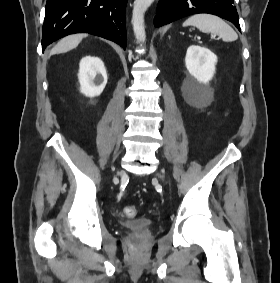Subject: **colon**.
Listing matches in <instances>:
<instances>
[{
	"mask_svg": "<svg viewBox=\"0 0 280 283\" xmlns=\"http://www.w3.org/2000/svg\"><path fill=\"white\" fill-rule=\"evenodd\" d=\"M124 213L129 218H134L137 215V209L135 207H126Z\"/></svg>",
	"mask_w": 280,
	"mask_h": 283,
	"instance_id": "1",
	"label": "colon"
}]
</instances>
